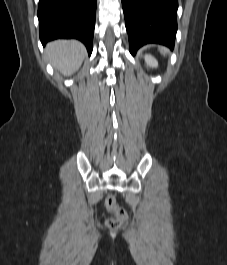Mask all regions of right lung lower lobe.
Here are the masks:
<instances>
[{
	"label": "right lung lower lobe",
	"instance_id": "1",
	"mask_svg": "<svg viewBox=\"0 0 227 265\" xmlns=\"http://www.w3.org/2000/svg\"><path fill=\"white\" fill-rule=\"evenodd\" d=\"M97 0H39L38 19L43 45L58 38H75L92 52Z\"/></svg>",
	"mask_w": 227,
	"mask_h": 265
}]
</instances>
